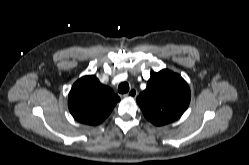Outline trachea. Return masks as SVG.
Here are the masks:
<instances>
[{
    "label": "trachea",
    "instance_id": "1",
    "mask_svg": "<svg viewBox=\"0 0 249 165\" xmlns=\"http://www.w3.org/2000/svg\"><path fill=\"white\" fill-rule=\"evenodd\" d=\"M129 91V84L127 82H122L119 86H118V92L120 94H125Z\"/></svg>",
    "mask_w": 249,
    "mask_h": 165
}]
</instances>
